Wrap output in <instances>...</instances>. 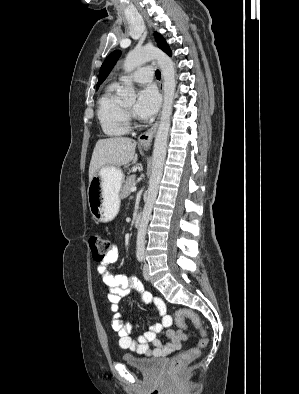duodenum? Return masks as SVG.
I'll use <instances>...</instances> for the list:
<instances>
[{"label": "duodenum", "instance_id": "duodenum-1", "mask_svg": "<svg viewBox=\"0 0 299 394\" xmlns=\"http://www.w3.org/2000/svg\"><path fill=\"white\" fill-rule=\"evenodd\" d=\"M141 221H142V216L141 214H138L135 218V226L139 227L141 225Z\"/></svg>", "mask_w": 299, "mask_h": 394}]
</instances>
